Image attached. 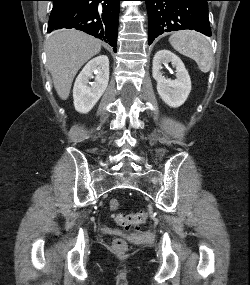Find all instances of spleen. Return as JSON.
I'll return each instance as SVG.
<instances>
[{
	"mask_svg": "<svg viewBox=\"0 0 250 285\" xmlns=\"http://www.w3.org/2000/svg\"><path fill=\"white\" fill-rule=\"evenodd\" d=\"M169 42L176 51L193 59L201 72L210 71L212 48L204 35L190 30L178 31L170 36Z\"/></svg>",
	"mask_w": 250,
	"mask_h": 285,
	"instance_id": "obj_1",
	"label": "spleen"
}]
</instances>
